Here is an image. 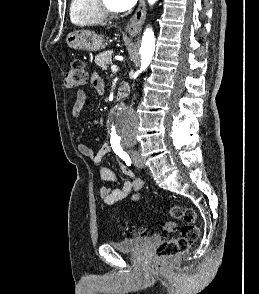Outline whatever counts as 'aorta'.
<instances>
[{
	"instance_id": "aorta-1",
	"label": "aorta",
	"mask_w": 259,
	"mask_h": 294,
	"mask_svg": "<svg viewBox=\"0 0 259 294\" xmlns=\"http://www.w3.org/2000/svg\"><path fill=\"white\" fill-rule=\"evenodd\" d=\"M157 0H148L150 5ZM155 36L152 29L147 28L142 37L140 48L141 71L148 68L154 55ZM139 127L138 114L125 106L115 108L109 118L108 132L113 139L121 142H133L136 139Z\"/></svg>"
}]
</instances>
